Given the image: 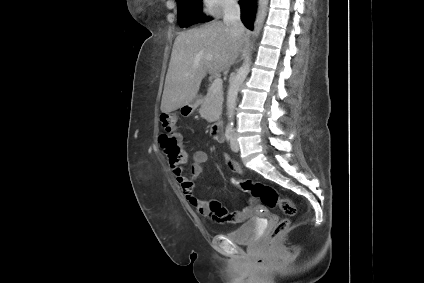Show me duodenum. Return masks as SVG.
<instances>
[{
    "label": "duodenum",
    "mask_w": 424,
    "mask_h": 283,
    "mask_svg": "<svg viewBox=\"0 0 424 283\" xmlns=\"http://www.w3.org/2000/svg\"><path fill=\"white\" fill-rule=\"evenodd\" d=\"M223 122L220 120H217L214 122V124L212 125V129H211V134L212 137L218 141L221 142L223 139Z\"/></svg>",
    "instance_id": "duodenum-1"
}]
</instances>
